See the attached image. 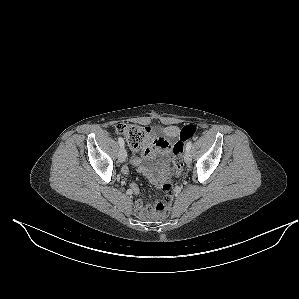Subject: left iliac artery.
<instances>
[{"instance_id": "1", "label": "left iliac artery", "mask_w": 299, "mask_h": 299, "mask_svg": "<svg viewBox=\"0 0 299 299\" xmlns=\"http://www.w3.org/2000/svg\"><path fill=\"white\" fill-rule=\"evenodd\" d=\"M191 147H192V142L189 141V142L186 144V150H187V151H190Z\"/></svg>"}]
</instances>
